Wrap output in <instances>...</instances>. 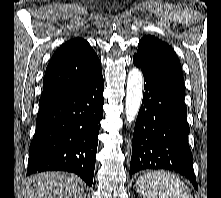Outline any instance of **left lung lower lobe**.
I'll return each mask as SVG.
<instances>
[{"mask_svg":"<svg viewBox=\"0 0 221 198\" xmlns=\"http://www.w3.org/2000/svg\"><path fill=\"white\" fill-rule=\"evenodd\" d=\"M144 75V95L135 123L130 175L144 169H169L184 175L198 189L188 144L189 125L183 96L137 59Z\"/></svg>","mask_w":221,"mask_h":198,"instance_id":"0a47b994","label":"left lung lower lobe"}]
</instances>
